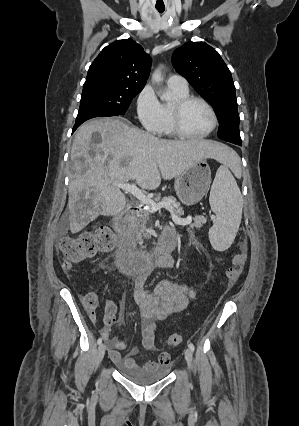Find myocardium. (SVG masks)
Returning a JSON list of instances; mask_svg holds the SVG:
<instances>
[{
  "label": "myocardium",
  "instance_id": "f54148a6",
  "mask_svg": "<svg viewBox=\"0 0 299 426\" xmlns=\"http://www.w3.org/2000/svg\"><path fill=\"white\" fill-rule=\"evenodd\" d=\"M193 102H199V103L203 104L209 110L211 117H212V125H211L210 129L203 134L189 133L188 131L185 130V128L183 126V122H182L183 112L186 109V107ZM171 119H172V125H173V129H174L175 133L177 135H179L183 138H187V139H203V138H206L214 132V130L216 129L217 124H218L217 114H216L213 106L204 98L199 97V96H192V95H188V96L179 98V99H177L173 102L172 108H171Z\"/></svg>",
  "mask_w": 299,
  "mask_h": 426
}]
</instances>
